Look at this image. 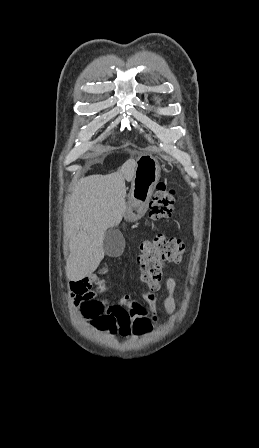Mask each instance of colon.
<instances>
[{
	"label": "colon",
	"instance_id": "colon-1",
	"mask_svg": "<svg viewBox=\"0 0 259 448\" xmlns=\"http://www.w3.org/2000/svg\"><path fill=\"white\" fill-rule=\"evenodd\" d=\"M174 202L175 191L162 183L158 184L150 202V218L156 222L167 221L171 217ZM184 248V243L180 239L163 235H158L141 245L138 257L141 278L150 290L158 289L165 263H178L182 260Z\"/></svg>",
	"mask_w": 259,
	"mask_h": 448
}]
</instances>
